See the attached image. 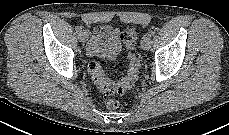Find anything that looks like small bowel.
Segmentation results:
<instances>
[{
    "instance_id": "c3829d8e",
    "label": "small bowel",
    "mask_w": 229,
    "mask_h": 135,
    "mask_svg": "<svg viewBox=\"0 0 229 135\" xmlns=\"http://www.w3.org/2000/svg\"><path fill=\"white\" fill-rule=\"evenodd\" d=\"M105 47H98L96 41L90 43V50L102 57L115 56L119 51L118 31L111 27L104 28Z\"/></svg>"
}]
</instances>
